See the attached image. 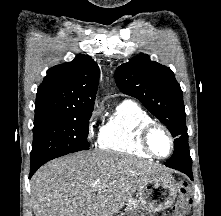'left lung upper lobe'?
I'll list each match as a JSON object with an SVG mask.
<instances>
[{
    "mask_svg": "<svg viewBox=\"0 0 221 216\" xmlns=\"http://www.w3.org/2000/svg\"><path fill=\"white\" fill-rule=\"evenodd\" d=\"M115 80L121 92L140 100L177 137L174 149L189 151L183 94L170 68L141 54L120 65Z\"/></svg>",
    "mask_w": 221,
    "mask_h": 216,
    "instance_id": "1",
    "label": "left lung upper lobe"
}]
</instances>
